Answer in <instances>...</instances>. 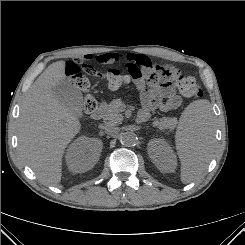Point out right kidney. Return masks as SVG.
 <instances>
[{"mask_svg": "<svg viewBox=\"0 0 245 245\" xmlns=\"http://www.w3.org/2000/svg\"><path fill=\"white\" fill-rule=\"evenodd\" d=\"M103 143L97 138L81 136L67 149L66 163L70 171L83 173L94 167L98 162Z\"/></svg>", "mask_w": 245, "mask_h": 245, "instance_id": "1", "label": "right kidney"}]
</instances>
